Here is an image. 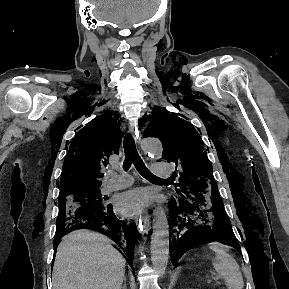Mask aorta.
<instances>
[{
    "label": "aorta",
    "instance_id": "aorta-1",
    "mask_svg": "<svg viewBox=\"0 0 289 289\" xmlns=\"http://www.w3.org/2000/svg\"><path fill=\"white\" fill-rule=\"evenodd\" d=\"M141 148L143 153L151 159L158 160L162 157L163 148L158 139L144 138L141 141ZM150 250L153 268L157 274L163 276L169 259V229L166 214L161 207L156 211Z\"/></svg>",
    "mask_w": 289,
    "mask_h": 289
}]
</instances>
